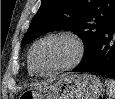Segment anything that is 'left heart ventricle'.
<instances>
[{
  "label": "left heart ventricle",
  "mask_w": 115,
  "mask_h": 99,
  "mask_svg": "<svg viewBox=\"0 0 115 99\" xmlns=\"http://www.w3.org/2000/svg\"><path fill=\"white\" fill-rule=\"evenodd\" d=\"M75 46L67 38H52L39 44L34 63L42 72H49L68 64L75 55Z\"/></svg>",
  "instance_id": "obj_1"
}]
</instances>
